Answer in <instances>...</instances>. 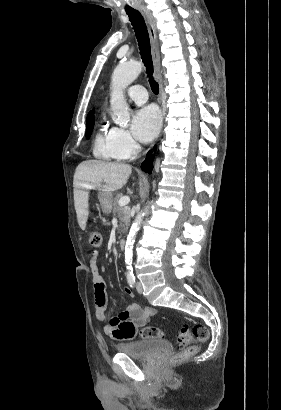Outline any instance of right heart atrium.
<instances>
[{
  "label": "right heart atrium",
  "instance_id": "d8ad5b80",
  "mask_svg": "<svg viewBox=\"0 0 281 410\" xmlns=\"http://www.w3.org/2000/svg\"><path fill=\"white\" fill-rule=\"evenodd\" d=\"M116 145L122 155L127 158L134 157L140 147L129 131L122 128H113Z\"/></svg>",
  "mask_w": 281,
  "mask_h": 410
}]
</instances>
